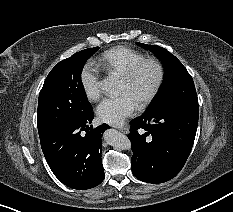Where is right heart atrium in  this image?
<instances>
[{
    "mask_svg": "<svg viewBox=\"0 0 233 212\" xmlns=\"http://www.w3.org/2000/svg\"><path fill=\"white\" fill-rule=\"evenodd\" d=\"M80 83L89 100L95 101L100 97L99 70L92 62L83 66L80 73Z\"/></svg>",
    "mask_w": 233,
    "mask_h": 212,
    "instance_id": "right-heart-atrium-1",
    "label": "right heart atrium"
}]
</instances>
